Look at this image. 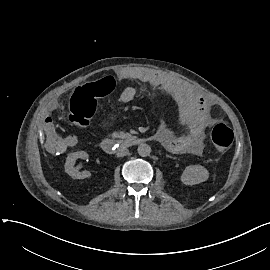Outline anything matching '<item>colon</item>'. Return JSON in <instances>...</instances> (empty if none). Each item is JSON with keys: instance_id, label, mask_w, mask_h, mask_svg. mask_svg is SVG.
<instances>
[{"instance_id": "obj_1", "label": "colon", "mask_w": 270, "mask_h": 270, "mask_svg": "<svg viewBox=\"0 0 270 270\" xmlns=\"http://www.w3.org/2000/svg\"><path fill=\"white\" fill-rule=\"evenodd\" d=\"M111 92L112 87L102 83H90L78 87L70 99V122L79 129H85L94 118L99 99L110 95ZM210 136L213 145L219 150L228 149L234 140L232 129L225 123L216 124Z\"/></svg>"}]
</instances>
